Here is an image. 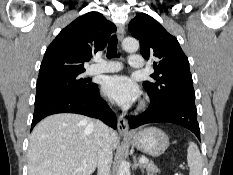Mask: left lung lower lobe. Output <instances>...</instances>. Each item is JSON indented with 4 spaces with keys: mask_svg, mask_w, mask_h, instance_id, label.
Here are the masks:
<instances>
[{
    "mask_svg": "<svg viewBox=\"0 0 233 175\" xmlns=\"http://www.w3.org/2000/svg\"><path fill=\"white\" fill-rule=\"evenodd\" d=\"M128 121L132 129L143 124L156 122L178 124L192 131L200 140L195 99L176 98L161 107H154L150 104L145 112L129 117Z\"/></svg>",
    "mask_w": 233,
    "mask_h": 175,
    "instance_id": "1",
    "label": "left lung lower lobe"
}]
</instances>
